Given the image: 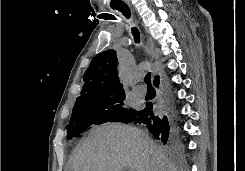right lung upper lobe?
Wrapping results in <instances>:
<instances>
[{
    "mask_svg": "<svg viewBox=\"0 0 245 171\" xmlns=\"http://www.w3.org/2000/svg\"><path fill=\"white\" fill-rule=\"evenodd\" d=\"M117 63L114 50L96 55L84 74L85 84L77 100L124 93L123 86L118 78ZM158 77L156 76L155 80Z\"/></svg>",
    "mask_w": 245,
    "mask_h": 171,
    "instance_id": "right-lung-upper-lobe-1",
    "label": "right lung upper lobe"
}]
</instances>
